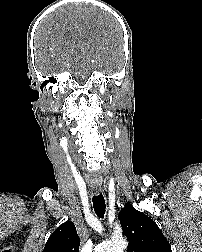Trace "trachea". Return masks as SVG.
Listing matches in <instances>:
<instances>
[{
    "mask_svg": "<svg viewBox=\"0 0 202 252\" xmlns=\"http://www.w3.org/2000/svg\"><path fill=\"white\" fill-rule=\"evenodd\" d=\"M93 208L98 217L103 218L106 210L105 200L102 194L93 196Z\"/></svg>",
    "mask_w": 202,
    "mask_h": 252,
    "instance_id": "obj_1",
    "label": "trachea"
}]
</instances>
